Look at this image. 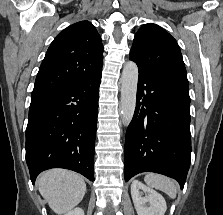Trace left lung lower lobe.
<instances>
[{"label":"left lung lower lobe","instance_id":"1","mask_svg":"<svg viewBox=\"0 0 223 215\" xmlns=\"http://www.w3.org/2000/svg\"><path fill=\"white\" fill-rule=\"evenodd\" d=\"M137 89L125 139V181L155 172L176 179L183 189L191 162L189 94L140 74Z\"/></svg>","mask_w":223,"mask_h":215}]
</instances>
